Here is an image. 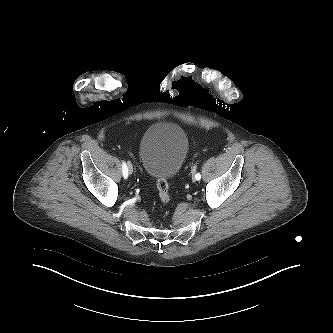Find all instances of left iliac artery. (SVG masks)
<instances>
[{
    "label": "left iliac artery",
    "mask_w": 333,
    "mask_h": 333,
    "mask_svg": "<svg viewBox=\"0 0 333 333\" xmlns=\"http://www.w3.org/2000/svg\"><path fill=\"white\" fill-rule=\"evenodd\" d=\"M195 178H196V180H200L201 179V174L200 173H196Z\"/></svg>",
    "instance_id": "44dca946"
}]
</instances>
